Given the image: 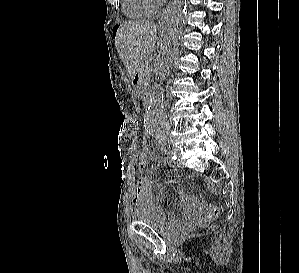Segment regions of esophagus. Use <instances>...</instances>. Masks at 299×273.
I'll return each instance as SVG.
<instances>
[{
  "instance_id": "34e87169",
  "label": "esophagus",
  "mask_w": 299,
  "mask_h": 273,
  "mask_svg": "<svg viewBox=\"0 0 299 273\" xmlns=\"http://www.w3.org/2000/svg\"><path fill=\"white\" fill-rule=\"evenodd\" d=\"M172 5H173V0L171 2H169L167 7L161 13V16H160V19H159L160 24H164L167 21Z\"/></svg>"
}]
</instances>
